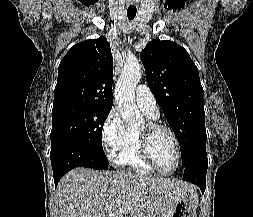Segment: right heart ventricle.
I'll use <instances>...</instances> for the list:
<instances>
[{
	"label": "right heart ventricle",
	"instance_id": "1",
	"mask_svg": "<svg viewBox=\"0 0 253 217\" xmlns=\"http://www.w3.org/2000/svg\"><path fill=\"white\" fill-rule=\"evenodd\" d=\"M147 117L152 120L155 119L149 115ZM128 131V139L118 152L116 163L140 174H152L154 170L144 161L140 154L138 132L134 130Z\"/></svg>",
	"mask_w": 253,
	"mask_h": 217
}]
</instances>
